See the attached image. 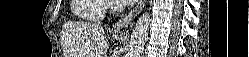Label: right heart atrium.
<instances>
[{
    "label": "right heart atrium",
    "instance_id": "d8ad5b80",
    "mask_svg": "<svg viewBox=\"0 0 249 57\" xmlns=\"http://www.w3.org/2000/svg\"><path fill=\"white\" fill-rule=\"evenodd\" d=\"M106 4V10H110V9H113V2L112 1H105Z\"/></svg>",
    "mask_w": 249,
    "mask_h": 57
}]
</instances>
